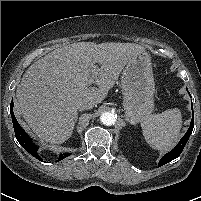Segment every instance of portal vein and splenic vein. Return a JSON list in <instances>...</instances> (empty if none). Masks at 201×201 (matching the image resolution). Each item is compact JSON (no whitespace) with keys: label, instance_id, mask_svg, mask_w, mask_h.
I'll return each mask as SVG.
<instances>
[{"label":"portal vein and splenic vein","instance_id":"obj_1","mask_svg":"<svg viewBox=\"0 0 201 201\" xmlns=\"http://www.w3.org/2000/svg\"><path fill=\"white\" fill-rule=\"evenodd\" d=\"M97 71H98V67L96 66V65H93L92 66V75H91V77H90V79H89V85H91L93 82H94V78L96 77V75H97Z\"/></svg>","mask_w":201,"mask_h":201}]
</instances>
